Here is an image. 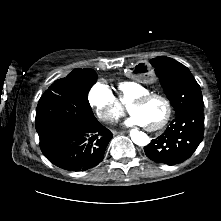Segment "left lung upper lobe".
Masks as SVG:
<instances>
[{
	"label": "left lung upper lobe",
	"instance_id": "obj_1",
	"mask_svg": "<svg viewBox=\"0 0 221 221\" xmlns=\"http://www.w3.org/2000/svg\"><path fill=\"white\" fill-rule=\"evenodd\" d=\"M150 63L177 115L204 106L200 86L186 66L165 56L154 58Z\"/></svg>",
	"mask_w": 221,
	"mask_h": 221
}]
</instances>
